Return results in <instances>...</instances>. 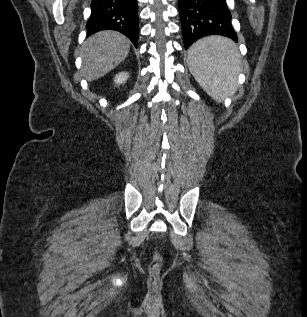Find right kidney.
Returning <instances> with one entry per match:
<instances>
[{
	"label": "right kidney",
	"instance_id": "obj_1",
	"mask_svg": "<svg viewBox=\"0 0 307 317\" xmlns=\"http://www.w3.org/2000/svg\"><path fill=\"white\" fill-rule=\"evenodd\" d=\"M129 75L127 72H120L119 74H117L114 78V82L117 85L123 84L127 81Z\"/></svg>",
	"mask_w": 307,
	"mask_h": 317
}]
</instances>
